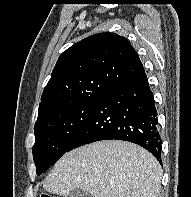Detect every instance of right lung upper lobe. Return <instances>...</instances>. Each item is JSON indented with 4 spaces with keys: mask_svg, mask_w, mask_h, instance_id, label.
Instances as JSON below:
<instances>
[{
    "mask_svg": "<svg viewBox=\"0 0 191 197\" xmlns=\"http://www.w3.org/2000/svg\"><path fill=\"white\" fill-rule=\"evenodd\" d=\"M142 71L137 52L123 36L106 32L87 37L60 55L44 88L37 122L68 107L98 101L109 87Z\"/></svg>",
    "mask_w": 191,
    "mask_h": 197,
    "instance_id": "obj_1",
    "label": "right lung upper lobe"
}]
</instances>
